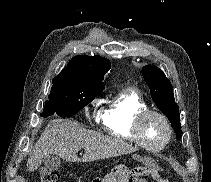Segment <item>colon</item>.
<instances>
[{
  "label": "colon",
  "instance_id": "obj_1",
  "mask_svg": "<svg viewBox=\"0 0 211 182\" xmlns=\"http://www.w3.org/2000/svg\"><path fill=\"white\" fill-rule=\"evenodd\" d=\"M39 175L41 182H59L60 180L57 172L43 167L40 168ZM146 176H152L156 182H168L162 176L161 168L155 164L138 166L131 169L125 166H118L105 176L95 178L90 182H139Z\"/></svg>",
  "mask_w": 211,
  "mask_h": 182
}]
</instances>
